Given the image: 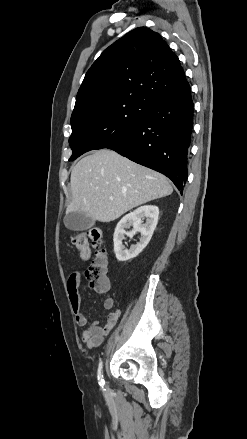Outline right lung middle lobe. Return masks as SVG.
Instances as JSON below:
<instances>
[{"instance_id": "dd1d6c3e", "label": "right lung middle lobe", "mask_w": 247, "mask_h": 439, "mask_svg": "<svg viewBox=\"0 0 247 439\" xmlns=\"http://www.w3.org/2000/svg\"><path fill=\"white\" fill-rule=\"evenodd\" d=\"M147 109L148 106L141 102L119 100L71 116L69 144L73 153L69 161L87 151L116 143L137 126Z\"/></svg>"}]
</instances>
